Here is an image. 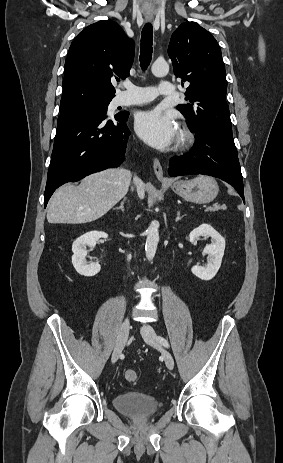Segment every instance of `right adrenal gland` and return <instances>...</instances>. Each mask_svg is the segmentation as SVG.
I'll return each instance as SVG.
<instances>
[{
    "instance_id": "right-adrenal-gland-1",
    "label": "right adrenal gland",
    "mask_w": 283,
    "mask_h": 463,
    "mask_svg": "<svg viewBox=\"0 0 283 463\" xmlns=\"http://www.w3.org/2000/svg\"><path fill=\"white\" fill-rule=\"evenodd\" d=\"M126 201H127V198L124 197L123 200H122L121 203H120V206H119V207H116V208H114V209H115V210H121V211L124 212V204L126 203Z\"/></svg>"
}]
</instances>
